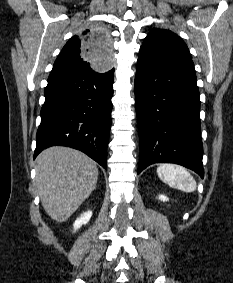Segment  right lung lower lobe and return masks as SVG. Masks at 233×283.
Returning <instances> with one entry per match:
<instances>
[{
	"mask_svg": "<svg viewBox=\"0 0 233 283\" xmlns=\"http://www.w3.org/2000/svg\"><path fill=\"white\" fill-rule=\"evenodd\" d=\"M114 69L54 72L45 88L34 158L45 148L68 146L107 169Z\"/></svg>",
	"mask_w": 233,
	"mask_h": 283,
	"instance_id": "right-lung-lower-lobe-1",
	"label": "right lung lower lobe"
}]
</instances>
